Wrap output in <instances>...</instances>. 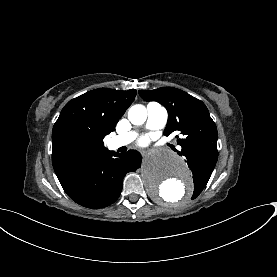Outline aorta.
I'll list each match as a JSON object with an SVG mask.
<instances>
[{"mask_svg":"<svg viewBox=\"0 0 277 277\" xmlns=\"http://www.w3.org/2000/svg\"><path fill=\"white\" fill-rule=\"evenodd\" d=\"M128 118L134 125L146 121L147 110L143 105L129 109ZM141 175L150 195L157 201L182 204L192 193V179L184 159L168 150H156L147 156Z\"/></svg>","mask_w":277,"mask_h":277,"instance_id":"aorta-1","label":"aorta"}]
</instances>
